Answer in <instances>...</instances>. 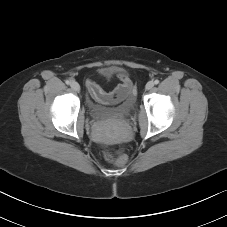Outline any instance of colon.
Instances as JSON below:
<instances>
[{
  "mask_svg": "<svg viewBox=\"0 0 227 227\" xmlns=\"http://www.w3.org/2000/svg\"><path fill=\"white\" fill-rule=\"evenodd\" d=\"M105 158L107 161L111 162L116 166H122L126 163L127 157L124 154L114 155L113 153L106 151Z\"/></svg>",
  "mask_w": 227,
  "mask_h": 227,
  "instance_id": "5ec220e1",
  "label": "colon"
}]
</instances>
